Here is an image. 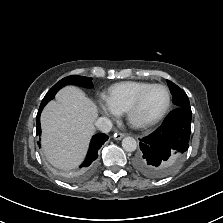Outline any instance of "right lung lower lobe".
I'll list each match as a JSON object with an SVG mask.
<instances>
[{"label": "right lung lower lobe", "mask_w": 223, "mask_h": 223, "mask_svg": "<svg viewBox=\"0 0 223 223\" xmlns=\"http://www.w3.org/2000/svg\"><path fill=\"white\" fill-rule=\"evenodd\" d=\"M48 102L49 101L42 102L39 107L38 114L36 117V135H41L40 114H41L42 109ZM107 140H108V136L105 134H97L93 136L86 159L84 160L82 165L79 167L80 168L79 171L68 176L69 180H72V181L81 180L91 174V172L94 169L96 159L98 158V150Z\"/></svg>", "instance_id": "right-lung-lower-lobe-1"}]
</instances>
